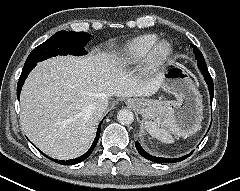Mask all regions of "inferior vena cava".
<instances>
[{
	"instance_id": "1",
	"label": "inferior vena cava",
	"mask_w": 240,
	"mask_h": 191,
	"mask_svg": "<svg viewBox=\"0 0 240 191\" xmlns=\"http://www.w3.org/2000/svg\"><path fill=\"white\" fill-rule=\"evenodd\" d=\"M93 106L99 113H104L108 107V98H99Z\"/></svg>"
}]
</instances>
